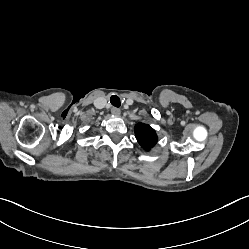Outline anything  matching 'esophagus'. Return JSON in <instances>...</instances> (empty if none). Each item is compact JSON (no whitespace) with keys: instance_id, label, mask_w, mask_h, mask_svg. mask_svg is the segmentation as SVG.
Segmentation results:
<instances>
[{"instance_id":"obj_1","label":"esophagus","mask_w":249,"mask_h":249,"mask_svg":"<svg viewBox=\"0 0 249 249\" xmlns=\"http://www.w3.org/2000/svg\"><path fill=\"white\" fill-rule=\"evenodd\" d=\"M111 113L113 114V115H115V116H118V115H120V109L119 108H116V107H113L112 109H111Z\"/></svg>"}]
</instances>
